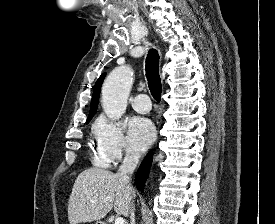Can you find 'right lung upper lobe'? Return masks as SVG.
Here are the masks:
<instances>
[{"mask_svg": "<svg viewBox=\"0 0 275 224\" xmlns=\"http://www.w3.org/2000/svg\"><path fill=\"white\" fill-rule=\"evenodd\" d=\"M104 74H102L99 79L97 80L93 91V96H92V101H91V107H90V112H89V118L87 119V121H89L92 116L95 114L96 110H97V106H98V99H99V95H100V89H101V85L102 82L104 80Z\"/></svg>", "mask_w": 275, "mask_h": 224, "instance_id": "obj_1", "label": "right lung upper lobe"}]
</instances>
